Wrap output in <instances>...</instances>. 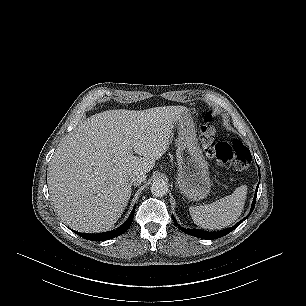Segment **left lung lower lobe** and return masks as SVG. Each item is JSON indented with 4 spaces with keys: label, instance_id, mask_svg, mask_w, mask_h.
<instances>
[{
    "label": "left lung lower lobe",
    "instance_id": "0a47b994",
    "mask_svg": "<svg viewBox=\"0 0 306 306\" xmlns=\"http://www.w3.org/2000/svg\"><path fill=\"white\" fill-rule=\"evenodd\" d=\"M259 176H260V170H259ZM258 186L259 184L257 185V188H256V192H255V195H254V199H253V203H252V206H251V209H250V213L242 220H240L237 224H235L233 227L231 228H228V229H224V230H221V231H217V232H204V231H201V230H197V229H185L183 227H180L175 218L172 217L173 219V222L176 226H178V228L183 231L184 233L186 234H189V235H192V236H195V237H199V238H204V239H209V240H213V239H217V238H220V237H223L225 235H227L228 233H230L231 231H233L234 229H236L245 219H247L250 214L252 213L253 209H254V206H255V202H256V196H257V191H258Z\"/></svg>",
    "mask_w": 306,
    "mask_h": 306
}]
</instances>
